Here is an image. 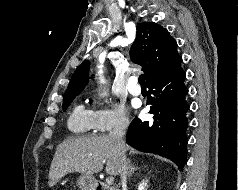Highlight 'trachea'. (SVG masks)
<instances>
[{"label": "trachea", "mask_w": 238, "mask_h": 190, "mask_svg": "<svg viewBox=\"0 0 238 190\" xmlns=\"http://www.w3.org/2000/svg\"><path fill=\"white\" fill-rule=\"evenodd\" d=\"M139 84L141 86H146V82H145V78L143 74L139 76Z\"/></svg>", "instance_id": "trachea-1"}]
</instances>
